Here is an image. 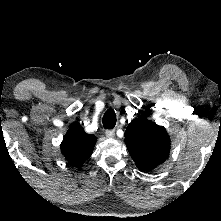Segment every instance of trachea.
Instances as JSON below:
<instances>
[{"mask_svg": "<svg viewBox=\"0 0 221 221\" xmlns=\"http://www.w3.org/2000/svg\"><path fill=\"white\" fill-rule=\"evenodd\" d=\"M102 122L105 129L114 128L116 125V114L114 110H107L103 116Z\"/></svg>", "mask_w": 221, "mask_h": 221, "instance_id": "obj_1", "label": "trachea"}]
</instances>
